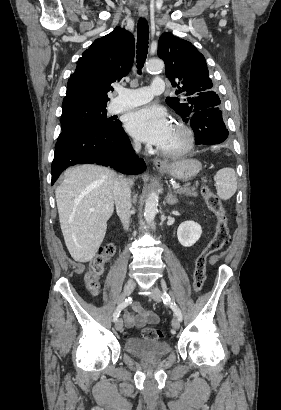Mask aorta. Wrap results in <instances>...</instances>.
Here are the masks:
<instances>
[{"mask_svg": "<svg viewBox=\"0 0 281 410\" xmlns=\"http://www.w3.org/2000/svg\"><path fill=\"white\" fill-rule=\"evenodd\" d=\"M164 68V62L160 59H151L146 63V70L148 72L161 71ZM158 199L159 196L157 193L152 192L148 196L145 209H144V218L146 222H152L158 212Z\"/></svg>", "mask_w": 281, "mask_h": 410, "instance_id": "762f6f07", "label": "aorta"}]
</instances>
